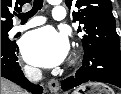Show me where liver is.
Instances as JSON below:
<instances>
[{"instance_id":"1","label":"liver","mask_w":121,"mask_h":94,"mask_svg":"<svg viewBox=\"0 0 121 94\" xmlns=\"http://www.w3.org/2000/svg\"><path fill=\"white\" fill-rule=\"evenodd\" d=\"M1 94H24L19 86L1 77Z\"/></svg>"}]
</instances>
